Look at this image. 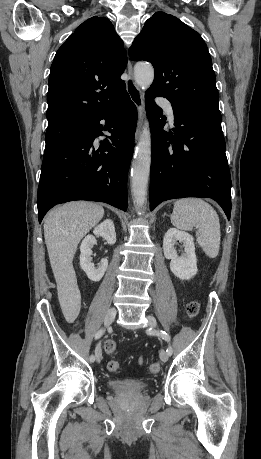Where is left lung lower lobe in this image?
<instances>
[{"label":"left lung lower lobe","mask_w":261,"mask_h":459,"mask_svg":"<svg viewBox=\"0 0 261 459\" xmlns=\"http://www.w3.org/2000/svg\"><path fill=\"white\" fill-rule=\"evenodd\" d=\"M148 91L151 125L150 210L162 201L210 197L231 214V177L225 154L221 115L191 113L173 107V132L164 131L166 118Z\"/></svg>","instance_id":"1"}]
</instances>
